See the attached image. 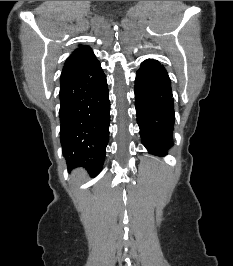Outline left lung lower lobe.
I'll return each mask as SVG.
<instances>
[{"label":"left lung lower lobe","mask_w":233,"mask_h":266,"mask_svg":"<svg viewBox=\"0 0 233 266\" xmlns=\"http://www.w3.org/2000/svg\"><path fill=\"white\" fill-rule=\"evenodd\" d=\"M135 107L141 140L154 155L173 146L174 99L166 69L157 60L142 62L135 80Z\"/></svg>","instance_id":"left-lung-lower-lobe-1"}]
</instances>
